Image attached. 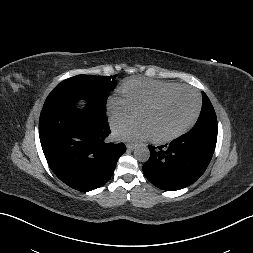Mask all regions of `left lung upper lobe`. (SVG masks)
I'll use <instances>...</instances> for the list:
<instances>
[{"label": "left lung upper lobe", "mask_w": 253, "mask_h": 253, "mask_svg": "<svg viewBox=\"0 0 253 253\" xmlns=\"http://www.w3.org/2000/svg\"><path fill=\"white\" fill-rule=\"evenodd\" d=\"M204 104L202 111L200 113L199 119L192 130H205L214 134H217V117L215 110L207 97V95L202 93Z\"/></svg>", "instance_id": "left-lung-upper-lobe-1"}]
</instances>
